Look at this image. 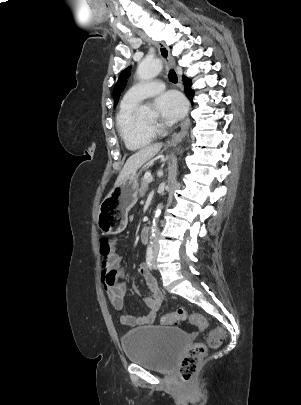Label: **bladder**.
Here are the masks:
<instances>
[{"label": "bladder", "instance_id": "1", "mask_svg": "<svg viewBox=\"0 0 301 405\" xmlns=\"http://www.w3.org/2000/svg\"><path fill=\"white\" fill-rule=\"evenodd\" d=\"M121 342L129 362L167 373L185 350L188 336L176 327L144 326L128 331Z\"/></svg>", "mask_w": 301, "mask_h": 405}]
</instances>
